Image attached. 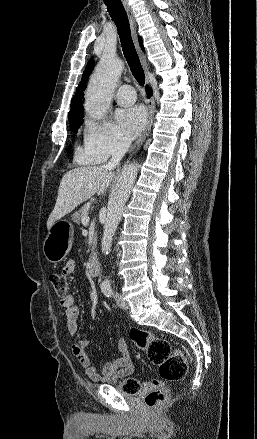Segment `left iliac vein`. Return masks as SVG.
<instances>
[{
	"label": "left iliac vein",
	"mask_w": 257,
	"mask_h": 439,
	"mask_svg": "<svg viewBox=\"0 0 257 439\" xmlns=\"http://www.w3.org/2000/svg\"><path fill=\"white\" fill-rule=\"evenodd\" d=\"M114 297L120 308L127 309L129 307V304L123 299L121 294L116 293Z\"/></svg>",
	"instance_id": "obj_1"
}]
</instances>
